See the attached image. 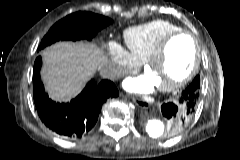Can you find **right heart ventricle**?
<instances>
[{
  "mask_svg": "<svg viewBox=\"0 0 240 160\" xmlns=\"http://www.w3.org/2000/svg\"><path fill=\"white\" fill-rule=\"evenodd\" d=\"M181 30L166 20H155L128 28L123 33L127 53L138 64L143 63L168 34Z\"/></svg>",
  "mask_w": 240,
  "mask_h": 160,
  "instance_id": "right-heart-ventricle-1",
  "label": "right heart ventricle"
}]
</instances>
